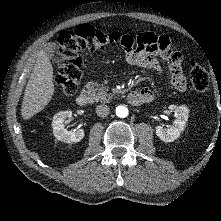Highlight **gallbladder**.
Wrapping results in <instances>:
<instances>
[{"label": "gallbladder", "mask_w": 221, "mask_h": 221, "mask_svg": "<svg viewBox=\"0 0 221 221\" xmlns=\"http://www.w3.org/2000/svg\"><path fill=\"white\" fill-rule=\"evenodd\" d=\"M56 48H57V45L55 43H47L44 47L45 54L48 57L53 58L55 63L58 62V59L54 58V53H55Z\"/></svg>", "instance_id": "obj_1"}]
</instances>
